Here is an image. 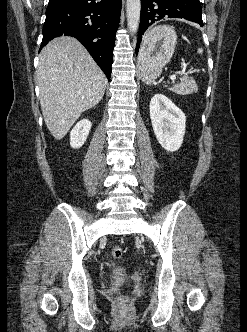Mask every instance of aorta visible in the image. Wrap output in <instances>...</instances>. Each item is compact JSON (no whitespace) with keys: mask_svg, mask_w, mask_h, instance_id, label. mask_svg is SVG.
Listing matches in <instances>:
<instances>
[{"mask_svg":"<svg viewBox=\"0 0 247 332\" xmlns=\"http://www.w3.org/2000/svg\"><path fill=\"white\" fill-rule=\"evenodd\" d=\"M141 0H127V25L130 33L133 35L137 32L140 21Z\"/></svg>","mask_w":247,"mask_h":332,"instance_id":"1","label":"aorta"}]
</instances>
